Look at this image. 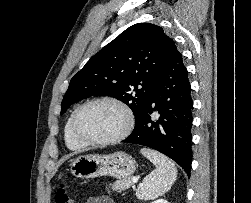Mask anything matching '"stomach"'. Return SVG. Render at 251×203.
<instances>
[{"instance_id":"1","label":"stomach","mask_w":251,"mask_h":203,"mask_svg":"<svg viewBox=\"0 0 251 203\" xmlns=\"http://www.w3.org/2000/svg\"><path fill=\"white\" fill-rule=\"evenodd\" d=\"M135 159L122 151L108 155H82L71 160V173L82 179L111 176L118 179L130 177L136 170Z\"/></svg>"}]
</instances>
